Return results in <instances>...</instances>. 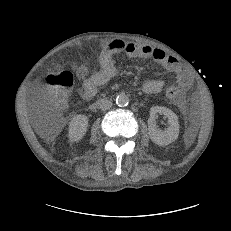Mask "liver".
Masks as SVG:
<instances>
[{"label": "liver", "mask_w": 231, "mask_h": 231, "mask_svg": "<svg viewBox=\"0 0 231 231\" xmlns=\"http://www.w3.org/2000/svg\"><path fill=\"white\" fill-rule=\"evenodd\" d=\"M57 134H54V136L51 137V139H53Z\"/></svg>", "instance_id": "6515ba94"}]
</instances>
